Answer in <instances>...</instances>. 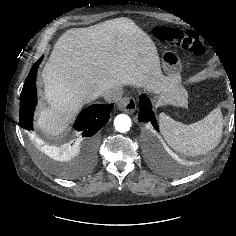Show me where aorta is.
<instances>
[{
    "label": "aorta",
    "mask_w": 236,
    "mask_h": 236,
    "mask_svg": "<svg viewBox=\"0 0 236 236\" xmlns=\"http://www.w3.org/2000/svg\"><path fill=\"white\" fill-rule=\"evenodd\" d=\"M132 125L131 118L126 114H119L114 119V127L118 132H127Z\"/></svg>",
    "instance_id": "762f6f07"
}]
</instances>
